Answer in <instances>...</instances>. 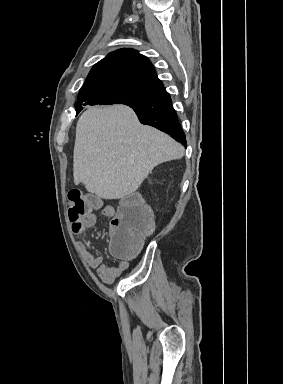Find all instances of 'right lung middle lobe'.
<instances>
[{
  "instance_id": "1",
  "label": "right lung middle lobe",
  "mask_w": 283,
  "mask_h": 384,
  "mask_svg": "<svg viewBox=\"0 0 283 384\" xmlns=\"http://www.w3.org/2000/svg\"><path fill=\"white\" fill-rule=\"evenodd\" d=\"M157 92L147 91L120 84H101L82 88L79 91L78 102L75 104L76 114L83 105H110L125 104L128 106H141L152 102Z\"/></svg>"
}]
</instances>
